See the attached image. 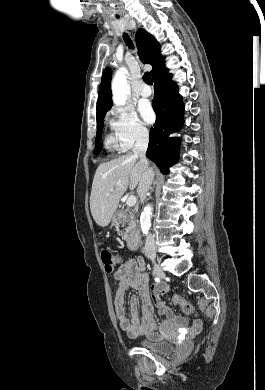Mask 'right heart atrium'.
<instances>
[{"instance_id":"right-heart-atrium-1","label":"right heart atrium","mask_w":265,"mask_h":390,"mask_svg":"<svg viewBox=\"0 0 265 390\" xmlns=\"http://www.w3.org/2000/svg\"><path fill=\"white\" fill-rule=\"evenodd\" d=\"M110 127L116 144L121 150H128L137 143L148 140L149 132L137 113L128 107L115 106L110 110Z\"/></svg>"}]
</instances>
